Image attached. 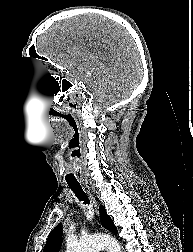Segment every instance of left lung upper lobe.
I'll return each instance as SVG.
<instances>
[{
	"mask_svg": "<svg viewBox=\"0 0 193 252\" xmlns=\"http://www.w3.org/2000/svg\"><path fill=\"white\" fill-rule=\"evenodd\" d=\"M100 217L101 222L103 223V227H105L110 232L118 234V231L111 220V218L106 214V210L103 206H100ZM62 227L56 226L49 234L46 245L44 247L43 252H58L61 245V237H62Z\"/></svg>",
	"mask_w": 193,
	"mask_h": 252,
	"instance_id": "1",
	"label": "left lung upper lobe"
}]
</instances>
